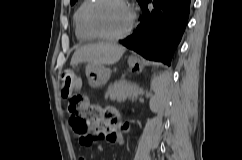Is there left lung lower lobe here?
<instances>
[{
    "mask_svg": "<svg viewBox=\"0 0 242 160\" xmlns=\"http://www.w3.org/2000/svg\"><path fill=\"white\" fill-rule=\"evenodd\" d=\"M150 2L153 10L148 8ZM190 4L191 0H144L137 28L119 42L149 60L170 65L188 21Z\"/></svg>",
    "mask_w": 242,
    "mask_h": 160,
    "instance_id": "0a47b994",
    "label": "left lung lower lobe"
}]
</instances>
